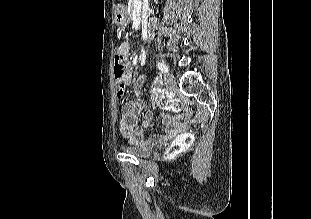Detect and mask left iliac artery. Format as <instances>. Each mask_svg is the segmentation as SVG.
<instances>
[{
  "label": "left iliac artery",
  "mask_w": 311,
  "mask_h": 219,
  "mask_svg": "<svg viewBox=\"0 0 311 219\" xmlns=\"http://www.w3.org/2000/svg\"><path fill=\"white\" fill-rule=\"evenodd\" d=\"M157 67L163 73H167L168 72V67L165 64L161 63V62L157 63Z\"/></svg>",
  "instance_id": "1"
}]
</instances>
